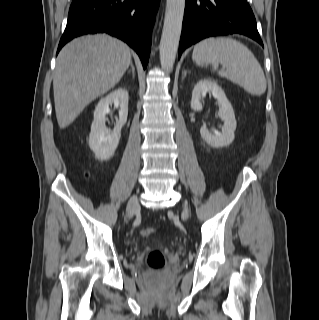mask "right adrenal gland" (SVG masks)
I'll list each match as a JSON object with an SVG mask.
<instances>
[{
    "label": "right adrenal gland",
    "instance_id": "obj_1",
    "mask_svg": "<svg viewBox=\"0 0 319 320\" xmlns=\"http://www.w3.org/2000/svg\"><path fill=\"white\" fill-rule=\"evenodd\" d=\"M131 72H132V75L135 76V67L132 62H131Z\"/></svg>",
    "mask_w": 319,
    "mask_h": 320
}]
</instances>
